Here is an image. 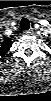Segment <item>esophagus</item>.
<instances>
[{
	"label": "esophagus",
	"instance_id": "obj_1",
	"mask_svg": "<svg viewBox=\"0 0 51 101\" xmlns=\"http://www.w3.org/2000/svg\"><path fill=\"white\" fill-rule=\"evenodd\" d=\"M32 33H33V29L32 28L29 29V30L24 31L25 35H31Z\"/></svg>",
	"mask_w": 51,
	"mask_h": 101
}]
</instances>
